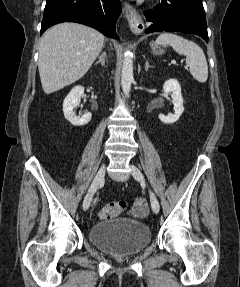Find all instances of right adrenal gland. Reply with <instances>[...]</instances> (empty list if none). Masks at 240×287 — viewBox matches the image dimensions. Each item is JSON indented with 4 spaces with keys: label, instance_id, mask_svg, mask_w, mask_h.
I'll list each match as a JSON object with an SVG mask.
<instances>
[{
    "label": "right adrenal gland",
    "instance_id": "obj_1",
    "mask_svg": "<svg viewBox=\"0 0 240 287\" xmlns=\"http://www.w3.org/2000/svg\"><path fill=\"white\" fill-rule=\"evenodd\" d=\"M106 52L103 51L102 54L99 56L98 61L95 63L97 65L98 63H101L102 66H105V59H106Z\"/></svg>",
    "mask_w": 240,
    "mask_h": 287
}]
</instances>
